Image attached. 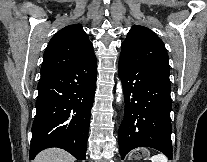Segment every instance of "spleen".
<instances>
[{"instance_id": "1", "label": "spleen", "mask_w": 207, "mask_h": 162, "mask_svg": "<svg viewBox=\"0 0 207 162\" xmlns=\"http://www.w3.org/2000/svg\"><path fill=\"white\" fill-rule=\"evenodd\" d=\"M152 162H168V159L163 154L154 155L150 158Z\"/></svg>"}]
</instances>
